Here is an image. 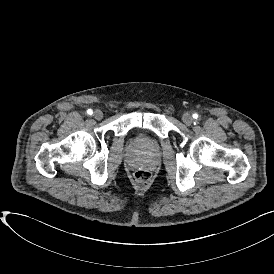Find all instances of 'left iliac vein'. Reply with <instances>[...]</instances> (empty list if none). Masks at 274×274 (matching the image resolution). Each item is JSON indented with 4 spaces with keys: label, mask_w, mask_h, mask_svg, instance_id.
I'll use <instances>...</instances> for the list:
<instances>
[{
    "label": "left iliac vein",
    "mask_w": 274,
    "mask_h": 274,
    "mask_svg": "<svg viewBox=\"0 0 274 274\" xmlns=\"http://www.w3.org/2000/svg\"><path fill=\"white\" fill-rule=\"evenodd\" d=\"M182 121L186 124V125H191L193 122V118L189 113H184L182 116Z\"/></svg>",
    "instance_id": "4c4485c4"
}]
</instances>
